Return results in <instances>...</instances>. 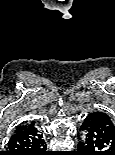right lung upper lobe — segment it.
<instances>
[{
  "mask_svg": "<svg viewBox=\"0 0 115 155\" xmlns=\"http://www.w3.org/2000/svg\"><path fill=\"white\" fill-rule=\"evenodd\" d=\"M33 127H34V123H27V124L18 126V127L16 128L15 133H19V132H22V131H26V130H29V129L33 128Z\"/></svg>",
  "mask_w": 115,
  "mask_h": 155,
  "instance_id": "1",
  "label": "right lung upper lobe"
}]
</instances>
